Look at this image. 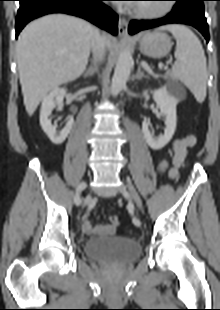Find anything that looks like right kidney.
Listing matches in <instances>:
<instances>
[{
    "mask_svg": "<svg viewBox=\"0 0 220 310\" xmlns=\"http://www.w3.org/2000/svg\"><path fill=\"white\" fill-rule=\"evenodd\" d=\"M66 92L67 90L65 88H54L43 98L41 105L40 125L50 141L55 145H60L65 141L74 123L73 118H69L65 127L62 130L57 131V125H52L51 120L49 119L53 109L56 106L63 105V98L66 95Z\"/></svg>",
    "mask_w": 220,
    "mask_h": 310,
    "instance_id": "ca27d5eb",
    "label": "right kidney"
}]
</instances>
